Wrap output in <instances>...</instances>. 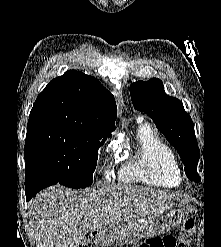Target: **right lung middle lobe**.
Wrapping results in <instances>:
<instances>
[{
  "instance_id": "dd1d6c3e",
  "label": "right lung middle lobe",
  "mask_w": 221,
  "mask_h": 247,
  "mask_svg": "<svg viewBox=\"0 0 221 247\" xmlns=\"http://www.w3.org/2000/svg\"><path fill=\"white\" fill-rule=\"evenodd\" d=\"M106 139L61 127L28 129L26 167L70 188L88 187L93 182L98 149Z\"/></svg>"
}]
</instances>
